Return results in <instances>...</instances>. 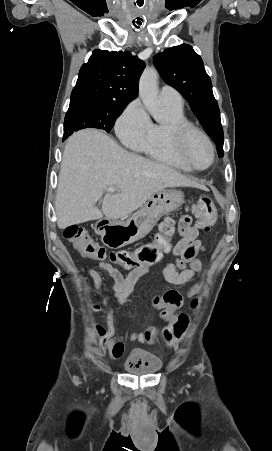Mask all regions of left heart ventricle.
I'll use <instances>...</instances> for the list:
<instances>
[{"label": "left heart ventricle", "instance_id": "obj_1", "mask_svg": "<svg viewBox=\"0 0 272 451\" xmlns=\"http://www.w3.org/2000/svg\"><path fill=\"white\" fill-rule=\"evenodd\" d=\"M187 163L195 169H204L210 162V154L201 139L196 135L191 136L186 151Z\"/></svg>", "mask_w": 272, "mask_h": 451}]
</instances>
